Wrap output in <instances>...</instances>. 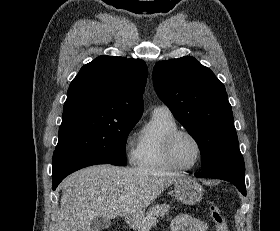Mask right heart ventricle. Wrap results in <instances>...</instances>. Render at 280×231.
<instances>
[{
    "label": "right heart ventricle",
    "mask_w": 280,
    "mask_h": 231,
    "mask_svg": "<svg viewBox=\"0 0 280 231\" xmlns=\"http://www.w3.org/2000/svg\"><path fill=\"white\" fill-rule=\"evenodd\" d=\"M179 128L170 112L153 111L150 121L140 132L136 164L149 169H175L164 156V141L169 133Z\"/></svg>",
    "instance_id": "obj_1"
}]
</instances>
